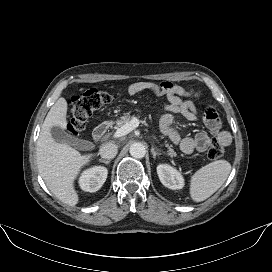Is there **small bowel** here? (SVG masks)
<instances>
[{
    "instance_id": "1",
    "label": "small bowel",
    "mask_w": 272,
    "mask_h": 272,
    "mask_svg": "<svg viewBox=\"0 0 272 272\" xmlns=\"http://www.w3.org/2000/svg\"><path fill=\"white\" fill-rule=\"evenodd\" d=\"M143 91H151L158 97L165 99L164 111L160 119V130L168 136L175 144H178L182 152L191 154L195 151L205 152L211 144L210 136L205 132H199L193 137H181L175 126V115L180 114L188 121L198 119L196 107L191 101H183L182 97H188L189 93L181 86L171 82L160 84L151 81H139L128 87V94L136 96ZM205 124L209 132L223 146L231 142V136L223 131L217 114L205 118Z\"/></svg>"
}]
</instances>
